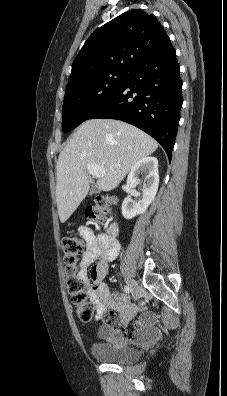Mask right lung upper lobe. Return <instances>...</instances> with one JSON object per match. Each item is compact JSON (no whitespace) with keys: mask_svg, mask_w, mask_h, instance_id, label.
Wrapping results in <instances>:
<instances>
[{"mask_svg":"<svg viewBox=\"0 0 227 396\" xmlns=\"http://www.w3.org/2000/svg\"><path fill=\"white\" fill-rule=\"evenodd\" d=\"M169 42L154 15L143 10L127 11L87 39L73 62L67 87L105 72L130 71L144 57Z\"/></svg>","mask_w":227,"mask_h":396,"instance_id":"right-lung-upper-lobe-1","label":"right lung upper lobe"}]
</instances>
